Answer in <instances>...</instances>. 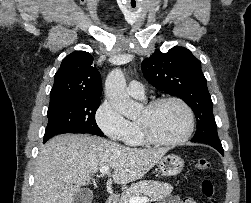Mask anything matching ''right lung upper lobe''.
I'll return each mask as SVG.
<instances>
[{"label": "right lung upper lobe", "instance_id": "cb5924a9", "mask_svg": "<svg viewBox=\"0 0 251 203\" xmlns=\"http://www.w3.org/2000/svg\"><path fill=\"white\" fill-rule=\"evenodd\" d=\"M93 57L85 51L66 56L55 74L49 107L82 99H99L102 92L100 73L92 66Z\"/></svg>", "mask_w": 251, "mask_h": 203}]
</instances>
